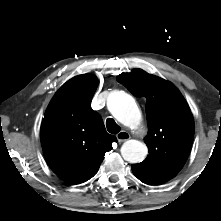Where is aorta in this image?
<instances>
[{
  "label": "aorta",
  "mask_w": 221,
  "mask_h": 221,
  "mask_svg": "<svg viewBox=\"0 0 221 221\" xmlns=\"http://www.w3.org/2000/svg\"><path fill=\"white\" fill-rule=\"evenodd\" d=\"M111 114L123 125L136 127L141 121L140 110L134 98L124 91H114L107 99ZM148 154L147 146L137 140H128L121 147V155L130 163H139Z\"/></svg>",
  "instance_id": "aorta-1"
}]
</instances>
